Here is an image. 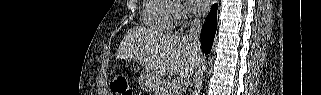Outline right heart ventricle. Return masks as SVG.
Wrapping results in <instances>:
<instances>
[{
  "label": "right heart ventricle",
  "mask_w": 321,
  "mask_h": 95,
  "mask_svg": "<svg viewBox=\"0 0 321 95\" xmlns=\"http://www.w3.org/2000/svg\"><path fill=\"white\" fill-rule=\"evenodd\" d=\"M175 4L171 0H145L143 5L144 24L154 31H172L177 23Z\"/></svg>",
  "instance_id": "1"
}]
</instances>
